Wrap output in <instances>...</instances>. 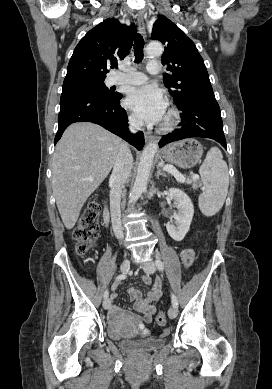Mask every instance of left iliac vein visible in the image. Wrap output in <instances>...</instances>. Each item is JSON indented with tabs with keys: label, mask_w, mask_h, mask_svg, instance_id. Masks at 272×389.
Segmentation results:
<instances>
[{
	"label": "left iliac vein",
	"mask_w": 272,
	"mask_h": 389,
	"mask_svg": "<svg viewBox=\"0 0 272 389\" xmlns=\"http://www.w3.org/2000/svg\"><path fill=\"white\" fill-rule=\"evenodd\" d=\"M142 267H143V270L146 273H150V274L154 273L155 270H156L155 264L153 262H151V261L143 263ZM168 316L171 319L175 318L177 316V308L176 307H171L168 310Z\"/></svg>",
	"instance_id": "4c4485c4"
}]
</instances>
